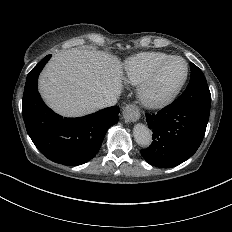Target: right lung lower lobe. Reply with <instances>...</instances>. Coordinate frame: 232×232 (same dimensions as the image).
<instances>
[{
    "label": "right lung lower lobe",
    "instance_id": "right-lung-lower-lobe-1",
    "mask_svg": "<svg viewBox=\"0 0 232 232\" xmlns=\"http://www.w3.org/2000/svg\"><path fill=\"white\" fill-rule=\"evenodd\" d=\"M51 58L44 57L28 74L22 115L37 149L53 162L81 165L100 149L108 128L118 122L119 107L112 106L80 118H63L42 101L38 93L39 73Z\"/></svg>",
    "mask_w": 232,
    "mask_h": 232
}]
</instances>
